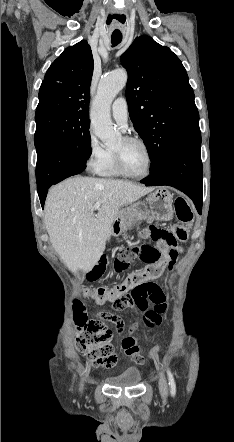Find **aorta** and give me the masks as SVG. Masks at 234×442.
Wrapping results in <instances>:
<instances>
[{"mask_svg":"<svg viewBox=\"0 0 234 442\" xmlns=\"http://www.w3.org/2000/svg\"><path fill=\"white\" fill-rule=\"evenodd\" d=\"M127 78L125 70H115L103 76L92 104L91 123L94 133L108 145L120 137L111 121L110 107L116 95L125 87Z\"/></svg>","mask_w":234,"mask_h":442,"instance_id":"obj_1","label":"aorta"}]
</instances>
